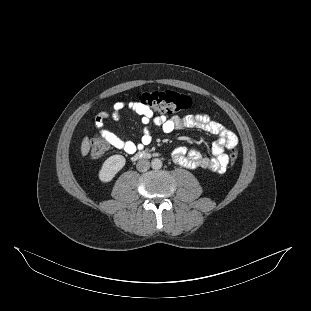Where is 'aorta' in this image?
I'll use <instances>...</instances> for the list:
<instances>
[{"instance_id":"762f6f07","label":"aorta","mask_w":311,"mask_h":311,"mask_svg":"<svg viewBox=\"0 0 311 311\" xmlns=\"http://www.w3.org/2000/svg\"><path fill=\"white\" fill-rule=\"evenodd\" d=\"M151 166L153 169H160L162 167L161 159H159V158L152 159Z\"/></svg>"}]
</instances>
